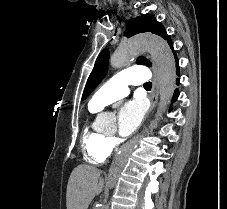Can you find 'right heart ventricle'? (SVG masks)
<instances>
[{
    "label": "right heart ventricle",
    "instance_id": "1",
    "mask_svg": "<svg viewBox=\"0 0 227 209\" xmlns=\"http://www.w3.org/2000/svg\"><path fill=\"white\" fill-rule=\"evenodd\" d=\"M88 110L91 116L98 111L90 104ZM82 151L85 161L96 166L104 164L113 151L112 139L91 126L90 119L86 120L83 127Z\"/></svg>",
    "mask_w": 227,
    "mask_h": 209
}]
</instances>
